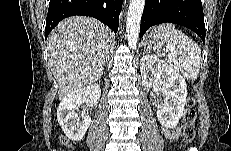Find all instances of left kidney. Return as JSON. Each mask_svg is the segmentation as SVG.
Masks as SVG:
<instances>
[{
  "label": "left kidney",
  "instance_id": "5707ae66",
  "mask_svg": "<svg viewBox=\"0 0 231 151\" xmlns=\"http://www.w3.org/2000/svg\"><path fill=\"white\" fill-rule=\"evenodd\" d=\"M140 66L143 85H159L165 96L163 104L157 110L159 122L166 128L176 127L184 115L187 103V84L184 78L155 56H143Z\"/></svg>",
  "mask_w": 231,
  "mask_h": 151
}]
</instances>
